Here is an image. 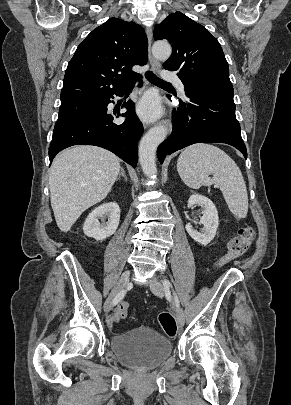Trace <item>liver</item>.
Here are the masks:
<instances>
[{
	"label": "liver",
	"mask_w": 291,
	"mask_h": 405,
	"mask_svg": "<svg viewBox=\"0 0 291 405\" xmlns=\"http://www.w3.org/2000/svg\"><path fill=\"white\" fill-rule=\"evenodd\" d=\"M120 168L116 155L96 146H74L56 156L49 170V189L62 232L69 231L86 209L108 195Z\"/></svg>",
	"instance_id": "liver-1"
}]
</instances>
